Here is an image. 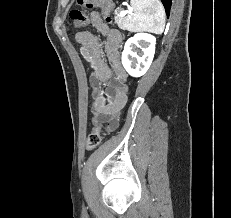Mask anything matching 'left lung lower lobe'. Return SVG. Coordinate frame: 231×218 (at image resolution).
I'll return each mask as SVG.
<instances>
[{"label": "left lung lower lobe", "mask_w": 231, "mask_h": 218, "mask_svg": "<svg viewBox=\"0 0 231 218\" xmlns=\"http://www.w3.org/2000/svg\"><path fill=\"white\" fill-rule=\"evenodd\" d=\"M161 1L165 7L167 16H169L172 0H161Z\"/></svg>", "instance_id": "obj_1"}]
</instances>
